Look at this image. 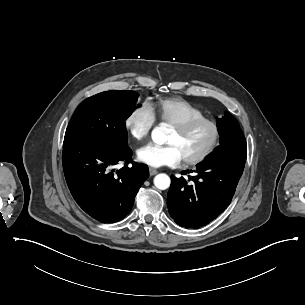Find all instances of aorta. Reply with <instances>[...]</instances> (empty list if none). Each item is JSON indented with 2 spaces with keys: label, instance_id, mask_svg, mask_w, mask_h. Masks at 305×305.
I'll return each instance as SVG.
<instances>
[{
  "label": "aorta",
  "instance_id": "1",
  "mask_svg": "<svg viewBox=\"0 0 305 305\" xmlns=\"http://www.w3.org/2000/svg\"><path fill=\"white\" fill-rule=\"evenodd\" d=\"M152 140L157 144H164L166 142V128L164 125L157 126L153 129L151 134ZM171 183L170 177L167 174L161 173L155 176L154 185L160 190H166Z\"/></svg>",
  "mask_w": 305,
  "mask_h": 305
}]
</instances>
